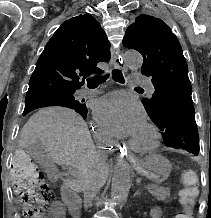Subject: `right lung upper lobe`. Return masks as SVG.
<instances>
[{
  "label": "right lung upper lobe",
  "instance_id": "obj_1",
  "mask_svg": "<svg viewBox=\"0 0 211 218\" xmlns=\"http://www.w3.org/2000/svg\"><path fill=\"white\" fill-rule=\"evenodd\" d=\"M111 58L104 30L90 14L65 21L40 55L29 81L25 102L44 96L77 90L81 76L100 72L98 62Z\"/></svg>",
  "mask_w": 211,
  "mask_h": 218
}]
</instances>
